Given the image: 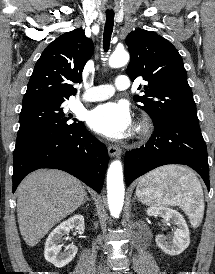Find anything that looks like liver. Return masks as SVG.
Returning <instances> with one entry per match:
<instances>
[{
	"label": "liver",
	"instance_id": "1",
	"mask_svg": "<svg viewBox=\"0 0 215 274\" xmlns=\"http://www.w3.org/2000/svg\"><path fill=\"white\" fill-rule=\"evenodd\" d=\"M85 190L75 177L59 170L29 174L17 189L20 233L30 247L82 204Z\"/></svg>",
	"mask_w": 215,
	"mask_h": 274
}]
</instances>
